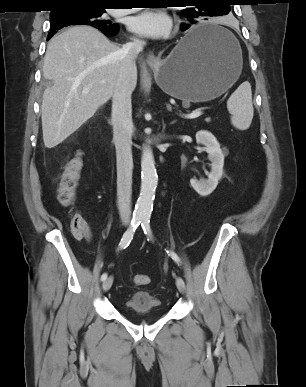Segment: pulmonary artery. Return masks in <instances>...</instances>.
Wrapping results in <instances>:
<instances>
[{
  "label": "pulmonary artery",
  "instance_id": "obj_1",
  "mask_svg": "<svg viewBox=\"0 0 306 387\" xmlns=\"http://www.w3.org/2000/svg\"><path fill=\"white\" fill-rule=\"evenodd\" d=\"M132 11H133L132 9H120V10H116V13L117 14H127V13H130Z\"/></svg>",
  "mask_w": 306,
  "mask_h": 387
}]
</instances>
